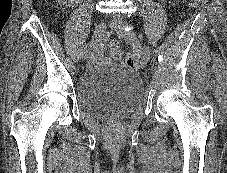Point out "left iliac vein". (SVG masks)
<instances>
[{"label": "left iliac vein", "instance_id": "left-iliac-vein-1", "mask_svg": "<svg viewBox=\"0 0 227 173\" xmlns=\"http://www.w3.org/2000/svg\"><path fill=\"white\" fill-rule=\"evenodd\" d=\"M110 26L116 30V32L139 54L142 64H147L149 60V55L146 50L142 47L137 35L133 31H126L124 29V24L122 21L113 19Z\"/></svg>", "mask_w": 227, "mask_h": 173}]
</instances>
